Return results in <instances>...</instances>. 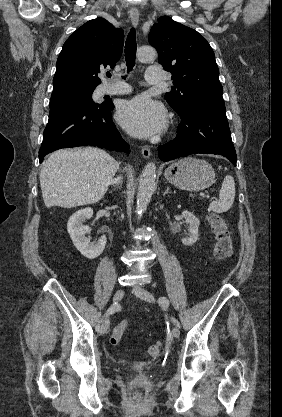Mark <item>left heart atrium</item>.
I'll use <instances>...</instances> for the list:
<instances>
[{
  "instance_id": "1",
  "label": "left heart atrium",
  "mask_w": 282,
  "mask_h": 417,
  "mask_svg": "<svg viewBox=\"0 0 282 417\" xmlns=\"http://www.w3.org/2000/svg\"><path fill=\"white\" fill-rule=\"evenodd\" d=\"M118 119L131 133L147 136L163 129L165 111L161 104L147 96H138L121 105Z\"/></svg>"
}]
</instances>
